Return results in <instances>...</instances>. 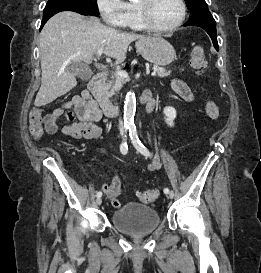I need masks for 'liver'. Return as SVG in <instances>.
<instances>
[{"label":"liver","instance_id":"obj_1","mask_svg":"<svg viewBox=\"0 0 261 273\" xmlns=\"http://www.w3.org/2000/svg\"><path fill=\"white\" fill-rule=\"evenodd\" d=\"M143 38L148 37L120 32L103 25L97 17L71 11L55 14L40 33L41 87L34 105H47L76 87V76L66 70L69 64H90L99 49L115 63H122L128 46Z\"/></svg>","mask_w":261,"mask_h":273}]
</instances>
